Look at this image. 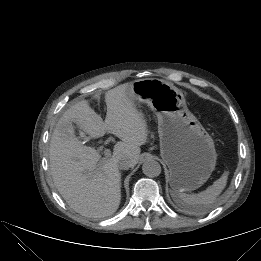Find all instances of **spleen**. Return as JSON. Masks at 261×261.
<instances>
[{"instance_id":"1","label":"spleen","mask_w":261,"mask_h":261,"mask_svg":"<svg viewBox=\"0 0 261 261\" xmlns=\"http://www.w3.org/2000/svg\"><path fill=\"white\" fill-rule=\"evenodd\" d=\"M228 178V172L216 180L212 186L199 194L172 193L174 200L184 208L188 209L192 214H200L204 207L211 205L218 195L225 188Z\"/></svg>"}]
</instances>
